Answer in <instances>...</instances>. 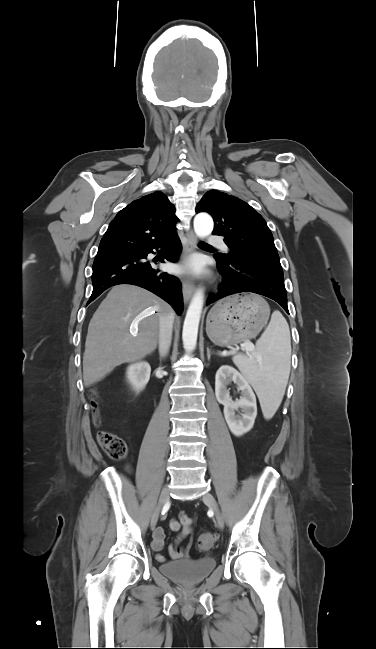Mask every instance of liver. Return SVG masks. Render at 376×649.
Listing matches in <instances>:
<instances>
[{"label":"liver","instance_id":"liver-1","mask_svg":"<svg viewBox=\"0 0 376 649\" xmlns=\"http://www.w3.org/2000/svg\"><path fill=\"white\" fill-rule=\"evenodd\" d=\"M170 311L167 303L141 287L114 286L88 326L83 355L84 385L88 387L116 366L153 352L158 342L160 318Z\"/></svg>","mask_w":376,"mask_h":649}]
</instances>
